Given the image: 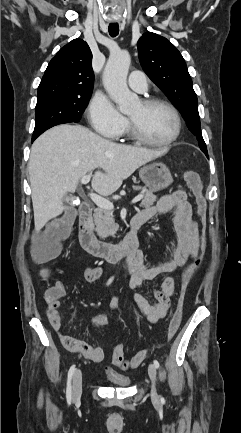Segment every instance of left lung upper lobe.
Masks as SVG:
<instances>
[{
  "mask_svg": "<svg viewBox=\"0 0 241 433\" xmlns=\"http://www.w3.org/2000/svg\"><path fill=\"white\" fill-rule=\"evenodd\" d=\"M137 47L143 70L179 108L200 149L207 152L201 133L197 96L182 55L165 37L152 32L143 34Z\"/></svg>",
  "mask_w": 241,
  "mask_h": 433,
  "instance_id": "left-lung-upper-lobe-1",
  "label": "left lung upper lobe"
}]
</instances>
